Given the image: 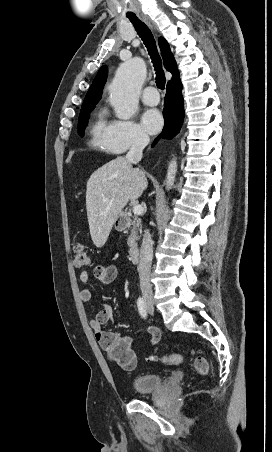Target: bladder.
<instances>
[{
  "label": "bladder",
  "instance_id": "1",
  "mask_svg": "<svg viewBox=\"0 0 272 452\" xmlns=\"http://www.w3.org/2000/svg\"><path fill=\"white\" fill-rule=\"evenodd\" d=\"M163 385V379L156 373H144L135 376L131 381V388L136 394L151 393Z\"/></svg>",
  "mask_w": 272,
  "mask_h": 452
}]
</instances>
